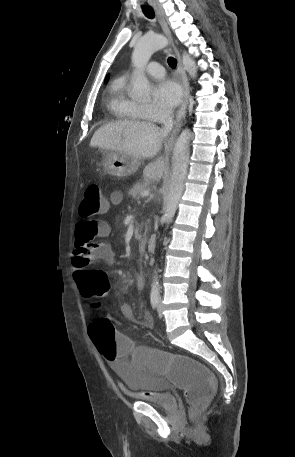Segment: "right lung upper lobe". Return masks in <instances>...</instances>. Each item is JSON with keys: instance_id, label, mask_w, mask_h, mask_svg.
Returning <instances> with one entry per match:
<instances>
[{"instance_id": "1", "label": "right lung upper lobe", "mask_w": 295, "mask_h": 457, "mask_svg": "<svg viewBox=\"0 0 295 457\" xmlns=\"http://www.w3.org/2000/svg\"><path fill=\"white\" fill-rule=\"evenodd\" d=\"M109 75H107L106 79H108Z\"/></svg>"}]
</instances>
